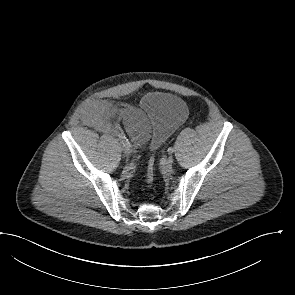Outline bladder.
I'll return each instance as SVG.
<instances>
[{
  "instance_id": "1",
  "label": "bladder",
  "mask_w": 295,
  "mask_h": 295,
  "mask_svg": "<svg viewBox=\"0 0 295 295\" xmlns=\"http://www.w3.org/2000/svg\"><path fill=\"white\" fill-rule=\"evenodd\" d=\"M152 125L150 147L157 149L166 137L188 116L186 103L177 95L166 92L146 94L139 107Z\"/></svg>"
}]
</instances>
